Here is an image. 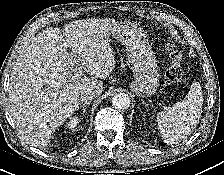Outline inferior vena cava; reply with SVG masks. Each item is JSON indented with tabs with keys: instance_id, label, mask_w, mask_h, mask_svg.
<instances>
[{
	"instance_id": "1",
	"label": "inferior vena cava",
	"mask_w": 224,
	"mask_h": 175,
	"mask_svg": "<svg viewBox=\"0 0 224 175\" xmlns=\"http://www.w3.org/2000/svg\"><path fill=\"white\" fill-rule=\"evenodd\" d=\"M96 95H97V93L95 91H93V90L83 91L79 95V101L87 103V102L91 101Z\"/></svg>"
}]
</instances>
